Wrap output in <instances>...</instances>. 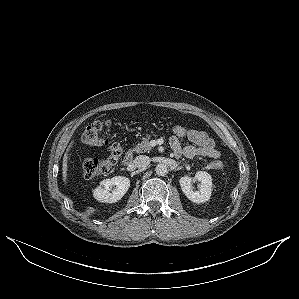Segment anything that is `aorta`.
I'll return each instance as SVG.
<instances>
[{
	"label": "aorta",
	"mask_w": 299,
	"mask_h": 299,
	"mask_svg": "<svg viewBox=\"0 0 299 299\" xmlns=\"http://www.w3.org/2000/svg\"><path fill=\"white\" fill-rule=\"evenodd\" d=\"M156 174L159 176H164L168 173V167L165 164H158L155 168Z\"/></svg>",
	"instance_id": "1"
}]
</instances>
